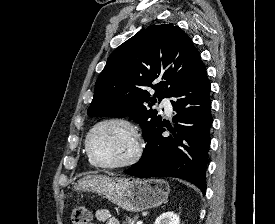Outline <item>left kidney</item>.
<instances>
[{
  "label": "left kidney",
  "instance_id": "1",
  "mask_svg": "<svg viewBox=\"0 0 275 224\" xmlns=\"http://www.w3.org/2000/svg\"><path fill=\"white\" fill-rule=\"evenodd\" d=\"M154 224H180V218L175 213L168 211L161 214Z\"/></svg>",
  "mask_w": 275,
  "mask_h": 224
}]
</instances>
